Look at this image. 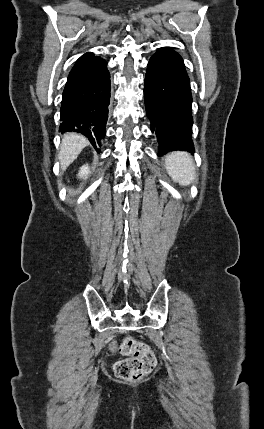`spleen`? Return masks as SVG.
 <instances>
[{"instance_id": "obj_1", "label": "spleen", "mask_w": 264, "mask_h": 429, "mask_svg": "<svg viewBox=\"0 0 264 429\" xmlns=\"http://www.w3.org/2000/svg\"><path fill=\"white\" fill-rule=\"evenodd\" d=\"M165 168L171 178L182 186H188L195 179L192 156L186 152H172L165 159Z\"/></svg>"}]
</instances>
